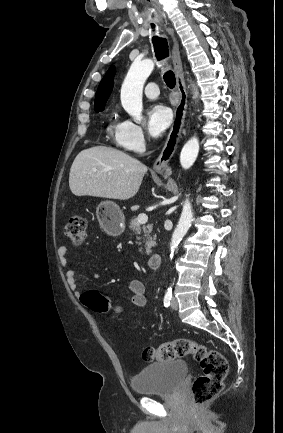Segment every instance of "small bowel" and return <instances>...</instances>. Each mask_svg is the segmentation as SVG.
<instances>
[{
	"label": "small bowel",
	"mask_w": 283,
	"mask_h": 433,
	"mask_svg": "<svg viewBox=\"0 0 283 433\" xmlns=\"http://www.w3.org/2000/svg\"><path fill=\"white\" fill-rule=\"evenodd\" d=\"M58 257L60 263L66 270V279L69 288L74 293L76 297H79L80 291L78 287V282L76 279V274L74 270L69 268V250L66 246H61L58 248ZM99 274H94V277L98 278ZM129 292L131 295V302L136 307H144L146 305V295H145V286L139 280H132L129 283Z\"/></svg>",
	"instance_id": "1"
}]
</instances>
